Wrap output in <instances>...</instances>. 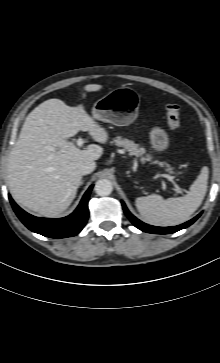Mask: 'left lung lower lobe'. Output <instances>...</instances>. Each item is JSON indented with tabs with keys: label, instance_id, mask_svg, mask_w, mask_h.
Segmentation results:
<instances>
[{
	"label": "left lung lower lobe",
	"instance_id": "obj_1",
	"mask_svg": "<svg viewBox=\"0 0 220 363\" xmlns=\"http://www.w3.org/2000/svg\"><path fill=\"white\" fill-rule=\"evenodd\" d=\"M122 206L124 209L125 214L127 215V217L129 218V220L140 230L144 231V232H148V233H154V234H169V233H174L177 232L181 229H184L188 226H190L193 222H195L199 216L197 215L195 218H193L192 220L181 224L179 226H174V227H156V226H151L148 224H145L143 222H141L140 220H138L135 216H133L128 209L126 208L124 202H122Z\"/></svg>",
	"mask_w": 220,
	"mask_h": 363
}]
</instances>
